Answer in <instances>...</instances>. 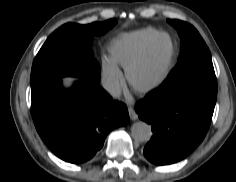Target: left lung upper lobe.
Wrapping results in <instances>:
<instances>
[{"label":"left lung upper lobe","mask_w":236,"mask_h":182,"mask_svg":"<svg viewBox=\"0 0 236 182\" xmlns=\"http://www.w3.org/2000/svg\"><path fill=\"white\" fill-rule=\"evenodd\" d=\"M167 21L180 36V55L175 68L155 92L167 97L193 94L216 100L217 80L204 40L192 25L174 19Z\"/></svg>","instance_id":"left-lung-upper-lobe-1"}]
</instances>
